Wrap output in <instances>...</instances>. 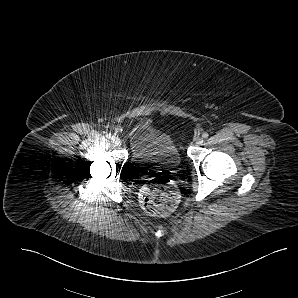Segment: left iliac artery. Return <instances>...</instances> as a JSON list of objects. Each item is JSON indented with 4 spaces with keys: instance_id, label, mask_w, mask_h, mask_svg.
<instances>
[{
    "instance_id": "44dca946",
    "label": "left iliac artery",
    "mask_w": 298,
    "mask_h": 298,
    "mask_svg": "<svg viewBox=\"0 0 298 298\" xmlns=\"http://www.w3.org/2000/svg\"><path fill=\"white\" fill-rule=\"evenodd\" d=\"M202 137L206 139V138L209 137V134L205 132V133L202 134Z\"/></svg>"
}]
</instances>
